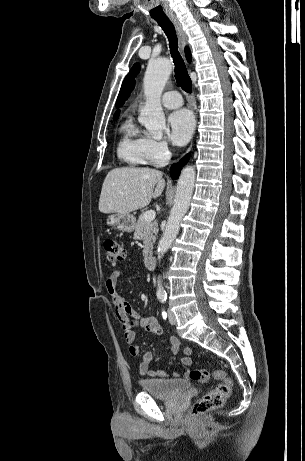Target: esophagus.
<instances>
[{
  "label": "esophagus",
  "mask_w": 305,
  "mask_h": 461,
  "mask_svg": "<svg viewBox=\"0 0 305 461\" xmlns=\"http://www.w3.org/2000/svg\"><path fill=\"white\" fill-rule=\"evenodd\" d=\"M169 19L171 20V22L175 26V29L177 31L179 41H180L181 52H182V55L184 56V48L187 45V41H188L187 35H186L180 21L175 16H169ZM191 149H192V144L189 147L188 152L191 151Z\"/></svg>",
  "instance_id": "obj_1"
}]
</instances>
